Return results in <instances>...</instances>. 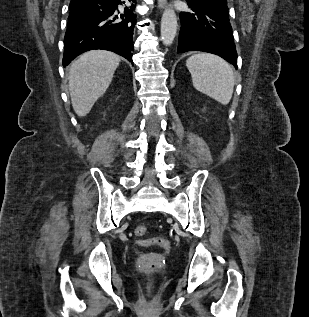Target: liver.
Returning a JSON list of instances; mask_svg holds the SVG:
<instances>
[{
  "label": "liver",
  "mask_w": 309,
  "mask_h": 317,
  "mask_svg": "<svg viewBox=\"0 0 309 317\" xmlns=\"http://www.w3.org/2000/svg\"><path fill=\"white\" fill-rule=\"evenodd\" d=\"M120 60L113 52L94 50L71 63L69 91L73 109L79 117L86 116L106 92Z\"/></svg>",
  "instance_id": "liver-1"
}]
</instances>
